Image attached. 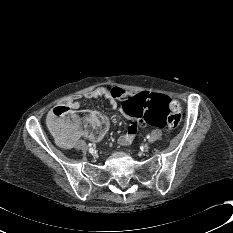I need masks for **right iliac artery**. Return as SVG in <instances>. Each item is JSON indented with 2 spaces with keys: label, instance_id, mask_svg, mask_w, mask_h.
<instances>
[{
  "label": "right iliac artery",
  "instance_id": "obj_1",
  "mask_svg": "<svg viewBox=\"0 0 233 233\" xmlns=\"http://www.w3.org/2000/svg\"><path fill=\"white\" fill-rule=\"evenodd\" d=\"M89 146L91 147V146H92V144H91V143H89ZM90 150H93V148H90Z\"/></svg>",
  "mask_w": 233,
  "mask_h": 233
}]
</instances>
